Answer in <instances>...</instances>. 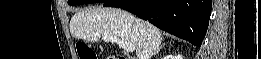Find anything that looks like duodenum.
Returning <instances> with one entry per match:
<instances>
[{
  "label": "duodenum",
  "mask_w": 261,
  "mask_h": 59,
  "mask_svg": "<svg viewBox=\"0 0 261 59\" xmlns=\"http://www.w3.org/2000/svg\"><path fill=\"white\" fill-rule=\"evenodd\" d=\"M115 59H126V57L124 56H118V57H114Z\"/></svg>",
  "instance_id": "1"
}]
</instances>
